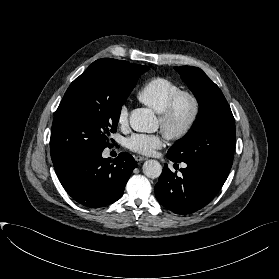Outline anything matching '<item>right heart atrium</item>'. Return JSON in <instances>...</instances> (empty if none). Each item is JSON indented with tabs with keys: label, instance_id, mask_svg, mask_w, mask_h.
<instances>
[{
	"label": "right heart atrium",
	"instance_id": "1",
	"mask_svg": "<svg viewBox=\"0 0 279 279\" xmlns=\"http://www.w3.org/2000/svg\"><path fill=\"white\" fill-rule=\"evenodd\" d=\"M118 123L120 126L125 127L128 125L129 122V109L126 105H123L119 112L117 117Z\"/></svg>",
	"mask_w": 279,
	"mask_h": 279
}]
</instances>
